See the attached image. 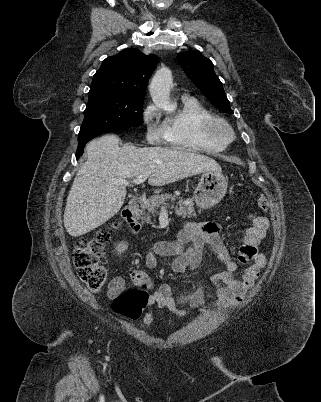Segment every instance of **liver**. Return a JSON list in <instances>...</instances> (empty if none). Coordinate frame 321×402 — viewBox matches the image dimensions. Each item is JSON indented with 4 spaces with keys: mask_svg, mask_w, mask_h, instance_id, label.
I'll return each instance as SVG.
<instances>
[{
    "mask_svg": "<svg viewBox=\"0 0 321 402\" xmlns=\"http://www.w3.org/2000/svg\"><path fill=\"white\" fill-rule=\"evenodd\" d=\"M87 161L79 168L64 211V226L78 237L101 226L121 209L126 189L114 179H134L150 173L148 184L162 186L205 171H219L212 158L184 148L119 147L108 134L88 143Z\"/></svg>",
    "mask_w": 321,
    "mask_h": 402,
    "instance_id": "obj_1",
    "label": "liver"
}]
</instances>
